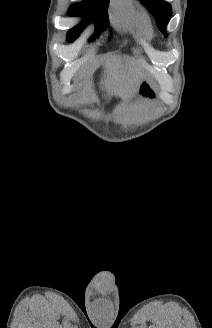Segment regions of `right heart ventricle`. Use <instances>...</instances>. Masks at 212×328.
Masks as SVG:
<instances>
[{"label": "right heart ventricle", "instance_id": "e07e8e85", "mask_svg": "<svg viewBox=\"0 0 212 328\" xmlns=\"http://www.w3.org/2000/svg\"><path fill=\"white\" fill-rule=\"evenodd\" d=\"M111 17L120 28L139 27L147 30L146 20L137 12L133 0H113L111 5Z\"/></svg>", "mask_w": 212, "mask_h": 328}]
</instances>
